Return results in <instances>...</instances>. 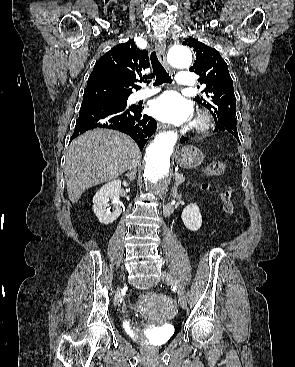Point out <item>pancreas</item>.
I'll return each mask as SVG.
<instances>
[{
    "label": "pancreas",
    "mask_w": 295,
    "mask_h": 367,
    "mask_svg": "<svg viewBox=\"0 0 295 367\" xmlns=\"http://www.w3.org/2000/svg\"><path fill=\"white\" fill-rule=\"evenodd\" d=\"M185 181V177L183 175H179L175 177L176 185H180Z\"/></svg>",
    "instance_id": "pancreas-1"
}]
</instances>
